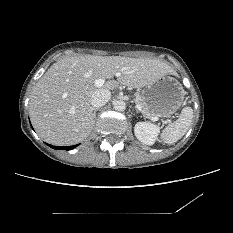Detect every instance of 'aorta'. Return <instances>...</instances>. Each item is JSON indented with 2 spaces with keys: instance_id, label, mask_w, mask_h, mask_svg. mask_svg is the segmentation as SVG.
Here are the masks:
<instances>
[{
  "instance_id": "762f6f07",
  "label": "aorta",
  "mask_w": 233,
  "mask_h": 233,
  "mask_svg": "<svg viewBox=\"0 0 233 233\" xmlns=\"http://www.w3.org/2000/svg\"><path fill=\"white\" fill-rule=\"evenodd\" d=\"M114 109L116 111H124L126 109V103L124 101H116L114 103Z\"/></svg>"
}]
</instances>
